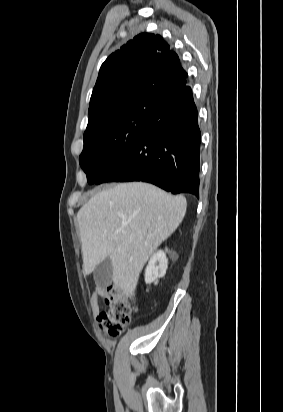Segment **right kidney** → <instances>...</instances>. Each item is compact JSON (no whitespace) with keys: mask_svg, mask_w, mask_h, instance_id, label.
Segmentation results:
<instances>
[{"mask_svg":"<svg viewBox=\"0 0 283 412\" xmlns=\"http://www.w3.org/2000/svg\"><path fill=\"white\" fill-rule=\"evenodd\" d=\"M168 249L165 251L159 250L152 255L150 258L148 265L145 269V282L146 284L151 283H158V279L162 278L166 274V270L168 267V259L166 257V253Z\"/></svg>","mask_w":283,"mask_h":412,"instance_id":"1","label":"right kidney"}]
</instances>
